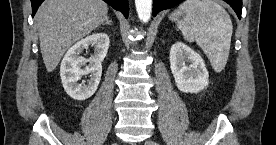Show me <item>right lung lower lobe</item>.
<instances>
[{"instance_id":"98d812e1","label":"right lung lower lobe","mask_w":276,"mask_h":145,"mask_svg":"<svg viewBox=\"0 0 276 145\" xmlns=\"http://www.w3.org/2000/svg\"><path fill=\"white\" fill-rule=\"evenodd\" d=\"M106 3H108L110 6H112L114 9L122 12L125 16V18L128 17L129 14V6H128V0H103ZM43 2V0H31L32 5V17L35 15L38 7Z\"/></svg>"}]
</instances>
